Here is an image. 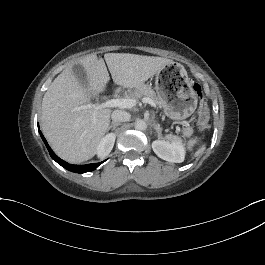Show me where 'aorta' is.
Instances as JSON below:
<instances>
[{"label": "aorta", "instance_id": "762f6f07", "mask_svg": "<svg viewBox=\"0 0 265 265\" xmlns=\"http://www.w3.org/2000/svg\"><path fill=\"white\" fill-rule=\"evenodd\" d=\"M147 128V124L143 120H138L135 124V129L137 130H145Z\"/></svg>", "mask_w": 265, "mask_h": 265}]
</instances>
